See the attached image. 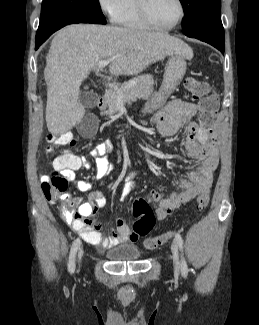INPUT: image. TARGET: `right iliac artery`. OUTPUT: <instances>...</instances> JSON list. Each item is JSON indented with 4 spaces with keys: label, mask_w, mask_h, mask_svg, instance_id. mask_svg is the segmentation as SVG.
<instances>
[{
    "label": "right iliac artery",
    "mask_w": 259,
    "mask_h": 325,
    "mask_svg": "<svg viewBox=\"0 0 259 325\" xmlns=\"http://www.w3.org/2000/svg\"><path fill=\"white\" fill-rule=\"evenodd\" d=\"M80 242H81L80 239L77 238L73 242L71 250H70L69 261H68V270L70 273H73L75 270V257H76V253H77L78 247L80 245Z\"/></svg>",
    "instance_id": "obj_1"
}]
</instances>
